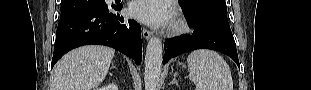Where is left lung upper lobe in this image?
Here are the masks:
<instances>
[{"label":"left lung upper lobe","instance_id":"1","mask_svg":"<svg viewBox=\"0 0 311 90\" xmlns=\"http://www.w3.org/2000/svg\"><path fill=\"white\" fill-rule=\"evenodd\" d=\"M184 14L193 25L215 23L230 29L225 0H179Z\"/></svg>","mask_w":311,"mask_h":90}]
</instances>
